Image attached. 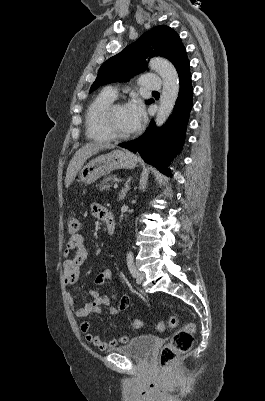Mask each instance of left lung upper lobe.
<instances>
[{
  "instance_id": "1",
  "label": "left lung upper lobe",
  "mask_w": 265,
  "mask_h": 401,
  "mask_svg": "<svg viewBox=\"0 0 265 401\" xmlns=\"http://www.w3.org/2000/svg\"><path fill=\"white\" fill-rule=\"evenodd\" d=\"M152 56L167 58L175 68L187 58L180 37L173 29L165 25L154 27L102 64L90 93L101 85L127 81L132 76L145 71L148 66L146 58ZM152 102V99L146 101L147 104Z\"/></svg>"
}]
</instances>
